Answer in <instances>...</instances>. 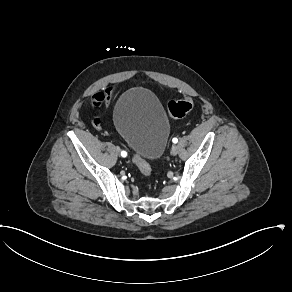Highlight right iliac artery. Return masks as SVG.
<instances>
[{
  "instance_id": "right-iliac-artery-1",
  "label": "right iliac artery",
  "mask_w": 292,
  "mask_h": 292,
  "mask_svg": "<svg viewBox=\"0 0 292 292\" xmlns=\"http://www.w3.org/2000/svg\"><path fill=\"white\" fill-rule=\"evenodd\" d=\"M121 156H122V157H126V156H127V152H126V151H122V152H121Z\"/></svg>"
}]
</instances>
